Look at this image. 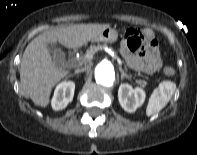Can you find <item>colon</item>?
<instances>
[{
	"label": "colon",
	"instance_id": "colon-1",
	"mask_svg": "<svg viewBox=\"0 0 197 155\" xmlns=\"http://www.w3.org/2000/svg\"><path fill=\"white\" fill-rule=\"evenodd\" d=\"M125 38L127 40L128 47L132 51H142L147 46L156 45V41L152 35L148 36L145 32H141L138 29L130 28L126 31ZM166 75H173L174 69L171 67L165 68Z\"/></svg>",
	"mask_w": 197,
	"mask_h": 155
}]
</instances>
